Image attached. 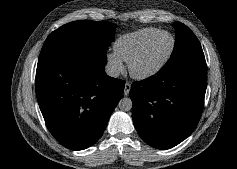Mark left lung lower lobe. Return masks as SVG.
Masks as SVG:
<instances>
[{
  "label": "left lung lower lobe",
  "mask_w": 237,
  "mask_h": 169,
  "mask_svg": "<svg viewBox=\"0 0 237 169\" xmlns=\"http://www.w3.org/2000/svg\"><path fill=\"white\" fill-rule=\"evenodd\" d=\"M207 86L205 60L191 61L174 70L161 69L156 75L134 82V126L150 146L169 149L185 140L202 114Z\"/></svg>",
  "instance_id": "0a47b994"
}]
</instances>
